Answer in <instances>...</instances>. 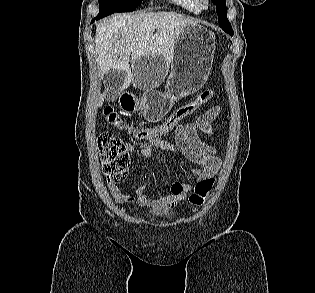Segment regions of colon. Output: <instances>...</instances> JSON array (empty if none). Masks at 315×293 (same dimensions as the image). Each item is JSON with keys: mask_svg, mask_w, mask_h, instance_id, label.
I'll use <instances>...</instances> for the list:
<instances>
[{"mask_svg": "<svg viewBox=\"0 0 315 293\" xmlns=\"http://www.w3.org/2000/svg\"><path fill=\"white\" fill-rule=\"evenodd\" d=\"M214 95L212 89L202 91L197 98L179 107L161 126L156 128H141L131 131L132 136L138 140H148L165 135L172 131L180 122L191 115L199 106L206 103ZM105 121L117 128H124L125 124L112 107L103 109ZM99 151L103 172L107 181L112 184L122 183L127 175L130 165V155L122 139L111 134H103L99 138ZM215 180L210 177L198 181L189 201L194 206H201L213 189Z\"/></svg>", "mask_w": 315, "mask_h": 293, "instance_id": "1", "label": "colon"}]
</instances>
